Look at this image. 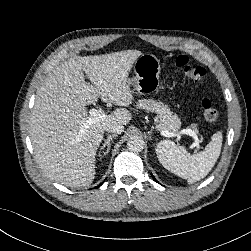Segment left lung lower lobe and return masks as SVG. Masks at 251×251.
Instances as JSON below:
<instances>
[{"instance_id":"left-lung-lower-lobe-1","label":"left lung lower lobe","mask_w":251,"mask_h":251,"mask_svg":"<svg viewBox=\"0 0 251 251\" xmlns=\"http://www.w3.org/2000/svg\"><path fill=\"white\" fill-rule=\"evenodd\" d=\"M152 176V178L155 180V178H154V176L153 175H151ZM156 181V180H155Z\"/></svg>"}]
</instances>
